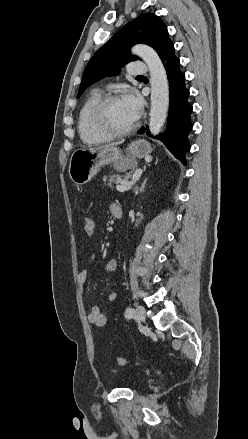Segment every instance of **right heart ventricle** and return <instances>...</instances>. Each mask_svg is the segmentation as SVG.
I'll use <instances>...</instances> for the list:
<instances>
[{"instance_id":"obj_1","label":"right heart ventricle","mask_w":248,"mask_h":439,"mask_svg":"<svg viewBox=\"0 0 248 439\" xmlns=\"http://www.w3.org/2000/svg\"><path fill=\"white\" fill-rule=\"evenodd\" d=\"M101 98L99 91H92L82 104L77 120V128L82 142L86 145H98L108 142L112 139L97 130L91 122V111L96 102Z\"/></svg>"}]
</instances>
